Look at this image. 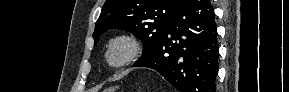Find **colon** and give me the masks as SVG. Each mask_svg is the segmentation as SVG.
Wrapping results in <instances>:
<instances>
[{
  "label": "colon",
  "instance_id": "colon-1",
  "mask_svg": "<svg viewBox=\"0 0 289 92\" xmlns=\"http://www.w3.org/2000/svg\"><path fill=\"white\" fill-rule=\"evenodd\" d=\"M116 91L115 88H110V89H107L105 92H114Z\"/></svg>",
  "mask_w": 289,
  "mask_h": 92
}]
</instances>
